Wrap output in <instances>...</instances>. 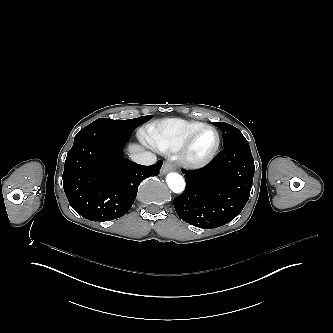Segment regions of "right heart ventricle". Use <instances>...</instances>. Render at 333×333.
I'll return each mask as SVG.
<instances>
[{"label": "right heart ventricle", "mask_w": 333, "mask_h": 333, "mask_svg": "<svg viewBox=\"0 0 333 333\" xmlns=\"http://www.w3.org/2000/svg\"><path fill=\"white\" fill-rule=\"evenodd\" d=\"M203 124L197 120L167 119L147 126L141 133V141L161 153H174L186 135Z\"/></svg>", "instance_id": "e07e8e85"}]
</instances>
